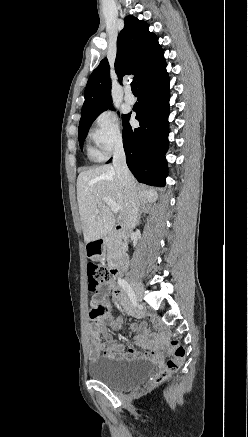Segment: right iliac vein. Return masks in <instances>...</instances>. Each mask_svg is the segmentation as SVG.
Segmentation results:
<instances>
[{"mask_svg": "<svg viewBox=\"0 0 248 437\" xmlns=\"http://www.w3.org/2000/svg\"><path fill=\"white\" fill-rule=\"evenodd\" d=\"M131 285L134 289L137 300L141 301L143 298V292H144L143 286L135 280H131Z\"/></svg>", "mask_w": 248, "mask_h": 437, "instance_id": "right-iliac-vein-1", "label": "right iliac vein"}]
</instances>
